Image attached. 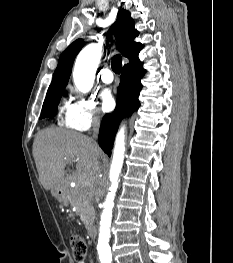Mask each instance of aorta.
Returning <instances> with one entry per match:
<instances>
[{
	"label": "aorta",
	"instance_id": "762f6f07",
	"mask_svg": "<svg viewBox=\"0 0 233 263\" xmlns=\"http://www.w3.org/2000/svg\"><path fill=\"white\" fill-rule=\"evenodd\" d=\"M101 58V47L92 43L86 46L77 56L73 71L74 83L77 89L83 93L88 92L94 83L95 72ZM125 153L124 128H121L115 139L113 158L110 168V185L103 188L104 202L101 214L98 253L101 260L111 258L109 246L112 209L115 193L118 188V178L123 166Z\"/></svg>",
	"mask_w": 233,
	"mask_h": 263
}]
</instances>
